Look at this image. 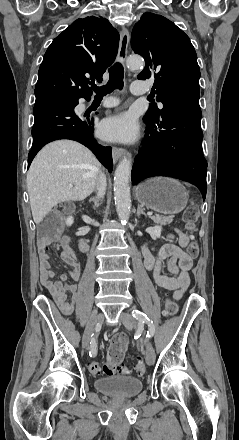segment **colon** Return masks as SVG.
I'll return each mask as SVG.
<instances>
[{
	"instance_id": "1",
	"label": "colon",
	"mask_w": 239,
	"mask_h": 440,
	"mask_svg": "<svg viewBox=\"0 0 239 440\" xmlns=\"http://www.w3.org/2000/svg\"><path fill=\"white\" fill-rule=\"evenodd\" d=\"M73 207L69 204H61L54 208L55 213L69 212ZM198 206L196 204L189 205L184 212L185 229L193 235L196 231V221L198 219ZM61 228V222L57 215L50 216L46 219L40 230L39 246L47 247L57 237ZM188 255L192 258L198 255V245L195 241H192L187 248ZM177 312V306L174 302L166 300L164 307V315H175ZM128 338L122 333L114 335L110 341V345L107 352V358L103 365H100L97 361L91 360L88 362V369L92 374L104 373L112 375L115 373L129 374L130 369L123 366L122 361L124 354L128 348ZM145 363L140 360L136 364V372L143 374L145 372Z\"/></svg>"
}]
</instances>
